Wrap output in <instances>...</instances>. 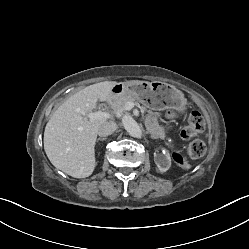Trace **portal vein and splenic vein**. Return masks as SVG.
Returning a JSON list of instances; mask_svg holds the SVG:
<instances>
[{"instance_id": "18ae733b", "label": "portal vein and splenic vein", "mask_w": 249, "mask_h": 249, "mask_svg": "<svg viewBox=\"0 0 249 249\" xmlns=\"http://www.w3.org/2000/svg\"><path fill=\"white\" fill-rule=\"evenodd\" d=\"M134 107V104L131 102H128L125 106L124 110H131ZM120 113H122V111L117 112V116H120ZM113 114L109 113V112H103V111H96V112H91L87 114V117L90 120H96V119H108L110 117H112Z\"/></svg>"}]
</instances>
